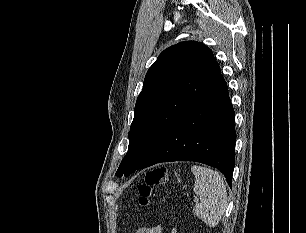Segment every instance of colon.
<instances>
[{"label":"colon","mask_w":306,"mask_h":233,"mask_svg":"<svg viewBox=\"0 0 306 233\" xmlns=\"http://www.w3.org/2000/svg\"><path fill=\"white\" fill-rule=\"evenodd\" d=\"M166 180L167 169L165 167H158L150 170L139 187V204L143 207H149L153 190L164 184Z\"/></svg>","instance_id":"5ec220e1"}]
</instances>
